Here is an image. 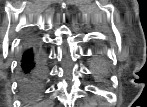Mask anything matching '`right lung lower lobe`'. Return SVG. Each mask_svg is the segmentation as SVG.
<instances>
[{"mask_svg": "<svg viewBox=\"0 0 147 107\" xmlns=\"http://www.w3.org/2000/svg\"><path fill=\"white\" fill-rule=\"evenodd\" d=\"M21 81L29 98L36 97L45 79V69L40 50L36 45L27 47L21 58Z\"/></svg>", "mask_w": 147, "mask_h": 107, "instance_id": "right-lung-lower-lobe-1", "label": "right lung lower lobe"}]
</instances>
